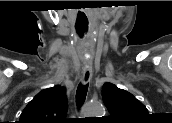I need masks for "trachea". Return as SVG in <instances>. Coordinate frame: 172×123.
Instances as JSON below:
<instances>
[{
	"label": "trachea",
	"mask_w": 172,
	"mask_h": 123,
	"mask_svg": "<svg viewBox=\"0 0 172 123\" xmlns=\"http://www.w3.org/2000/svg\"><path fill=\"white\" fill-rule=\"evenodd\" d=\"M87 91H88V84L78 85V88L76 91V102H77L78 108H80V106L84 103L86 99Z\"/></svg>",
	"instance_id": "trachea-1"
}]
</instances>
